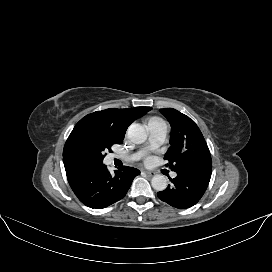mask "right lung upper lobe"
I'll use <instances>...</instances> for the list:
<instances>
[{
	"label": "right lung upper lobe",
	"instance_id": "obj_1",
	"mask_svg": "<svg viewBox=\"0 0 272 272\" xmlns=\"http://www.w3.org/2000/svg\"><path fill=\"white\" fill-rule=\"evenodd\" d=\"M151 107H134L127 109H106L91 113L82 118L78 123L89 124L96 128L111 133L118 139H124L128 126L144 113L150 111ZM63 162L65 170L84 166L67 155L63 150Z\"/></svg>",
	"mask_w": 272,
	"mask_h": 272
}]
</instances>
